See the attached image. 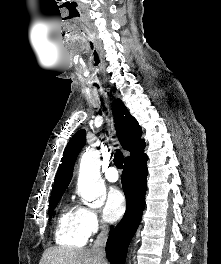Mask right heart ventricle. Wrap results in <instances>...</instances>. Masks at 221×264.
<instances>
[{
	"label": "right heart ventricle",
	"instance_id": "right-heart-ventricle-1",
	"mask_svg": "<svg viewBox=\"0 0 221 264\" xmlns=\"http://www.w3.org/2000/svg\"><path fill=\"white\" fill-rule=\"evenodd\" d=\"M83 209L74 204H66L58 217L55 228V241L65 247H82L89 235L83 220Z\"/></svg>",
	"mask_w": 221,
	"mask_h": 264
}]
</instances>
